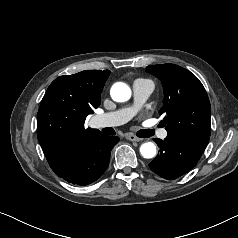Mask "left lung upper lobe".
Segmentation results:
<instances>
[{
	"label": "left lung upper lobe",
	"instance_id": "5c2ea615",
	"mask_svg": "<svg viewBox=\"0 0 238 238\" xmlns=\"http://www.w3.org/2000/svg\"><path fill=\"white\" fill-rule=\"evenodd\" d=\"M147 72L159 78L164 88V115L161 121L168 134L208 144L211 107L204 86L187 69L175 64L147 66Z\"/></svg>",
	"mask_w": 238,
	"mask_h": 238
}]
</instances>
